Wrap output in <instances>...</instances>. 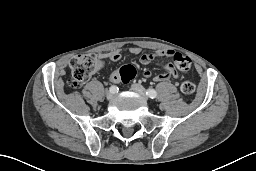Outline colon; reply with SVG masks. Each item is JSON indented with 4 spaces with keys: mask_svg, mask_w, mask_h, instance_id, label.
<instances>
[{
    "mask_svg": "<svg viewBox=\"0 0 256 171\" xmlns=\"http://www.w3.org/2000/svg\"><path fill=\"white\" fill-rule=\"evenodd\" d=\"M176 66L183 71H188L191 67L192 61L188 56L178 54L174 57ZM103 60L98 55L87 54L78 55L71 59V79L72 87H78L84 84L94 72L99 71L103 67ZM119 81L127 84L135 79L137 76V69L133 65H124L117 70ZM181 93L190 97L195 92V85L193 82L186 80L180 84Z\"/></svg>",
    "mask_w": 256,
    "mask_h": 171,
    "instance_id": "1",
    "label": "colon"
}]
</instances>
